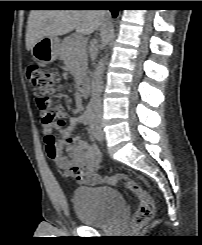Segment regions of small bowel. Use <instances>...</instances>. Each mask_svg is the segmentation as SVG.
<instances>
[{"instance_id": "small-bowel-1", "label": "small bowel", "mask_w": 202, "mask_h": 245, "mask_svg": "<svg viewBox=\"0 0 202 245\" xmlns=\"http://www.w3.org/2000/svg\"><path fill=\"white\" fill-rule=\"evenodd\" d=\"M75 105L76 111L82 110L83 102L80 98H76ZM54 114L56 117L66 116V113L60 106L55 107ZM78 123H83L82 116L68 121L63 126V130L65 132L72 131ZM41 125L48 155L58 162L67 178H72L84 185H96L100 182L98 170L101 158L97 146L91 145L79 137L58 142L53 133V124L42 122ZM52 148L57 149V154L55 156H51ZM62 148L67 149L70 161L67 156L61 152ZM69 165H72L73 167L71 168Z\"/></svg>"}]
</instances>
